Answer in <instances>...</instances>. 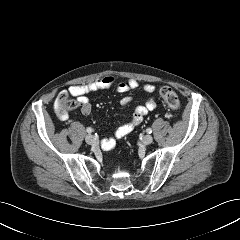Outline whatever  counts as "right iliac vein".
<instances>
[{
  "label": "right iliac vein",
  "mask_w": 240,
  "mask_h": 240,
  "mask_svg": "<svg viewBox=\"0 0 240 240\" xmlns=\"http://www.w3.org/2000/svg\"><path fill=\"white\" fill-rule=\"evenodd\" d=\"M85 141H86L87 144H90V145H93V144L96 143V140H95L94 136L91 135V134H88V135L85 137Z\"/></svg>",
  "instance_id": "obj_1"
}]
</instances>
